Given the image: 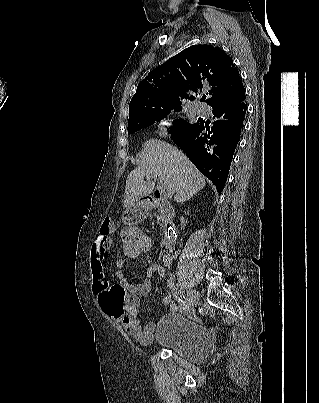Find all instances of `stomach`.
Returning <instances> with one entry per match:
<instances>
[{
  "mask_svg": "<svg viewBox=\"0 0 319 403\" xmlns=\"http://www.w3.org/2000/svg\"><path fill=\"white\" fill-rule=\"evenodd\" d=\"M121 223L124 224V226L141 223V216L138 215L137 206L133 205L122 211Z\"/></svg>",
  "mask_w": 319,
  "mask_h": 403,
  "instance_id": "obj_1",
  "label": "stomach"
}]
</instances>
